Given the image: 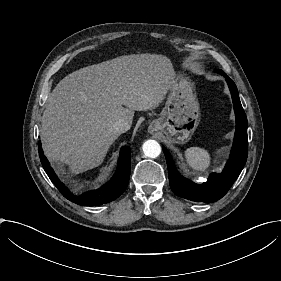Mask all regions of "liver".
I'll use <instances>...</instances> for the list:
<instances>
[{"mask_svg":"<svg viewBox=\"0 0 281 281\" xmlns=\"http://www.w3.org/2000/svg\"><path fill=\"white\" fill-rule=\"evenodd\" d=\"M174 77L171 59L157 53L121 55L68 74L43 112L44 155L70 175L100 165L120 135L114 123L132 124L134 110L156 107L176 83Z\"/></svg>","mask_w":281,"mask_h":281,"instance_id":"liver-1","label":"liver"}]
</instances>
